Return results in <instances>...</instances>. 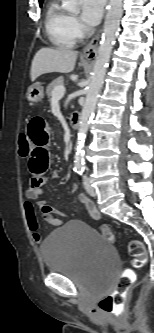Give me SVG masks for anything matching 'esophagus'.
I'll return each mask as SVG.
<instances>
[{
  "mask_svg": "<svg viewBox=\"0 0 154 333\" xmlns=\"http://www.w3.org/2000/svg\"><path fill=\"white\" fill-rule=\"evenodd\" d=\"M100 35L101 31L84 47L82 52L83 56L91 58L96 55Z\"/></svg>",
  "mask_w": 154,
  "mask_h": 333,
  "instance_id": "obj_1",
  "label": "esophagus"
}]
</instances>
